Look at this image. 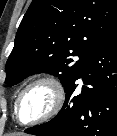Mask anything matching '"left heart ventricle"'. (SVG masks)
Segmentation results:
<instances>
[{"instance_id": "obj_1", "label": "left heart ventricle", "mask_w": 117, "mask_h": 136, "mask_svg": "<svg viewBox=\"0 0 117 136\" xmlns=\"http://www.w3.org/2000/svg\"><path fill=\"white\" fill-rule=\"evenodd\" d=\"M54 95L45 85L30 89L22 99L19 115L22 121H30L46 114L52 107Z\"/></svg>"}]
</instances>
